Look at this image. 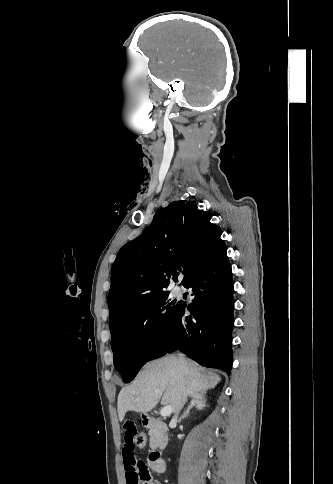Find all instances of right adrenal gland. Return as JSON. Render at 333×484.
<instances>
[{"mask_svg":"<svg viewBox=\"0 0 333 484\" xmlns=\"http://www.w3.org/2000/svg\"><path fill=\"white\" fill-rule=\"evenodd\" d=\"M206 392H199L196 393L192 396V400L190 402V405L188 406L186 412L182 417H180L179 421L182 419L186 418L188 414L190 413V410L195 407L198 410H202L206 407Z\"/></svg>","mask_w":333,"mask_h":484,"instance_id":"right-adrenal-gland-1","label":"right adrenal gland"}]
</instances>
